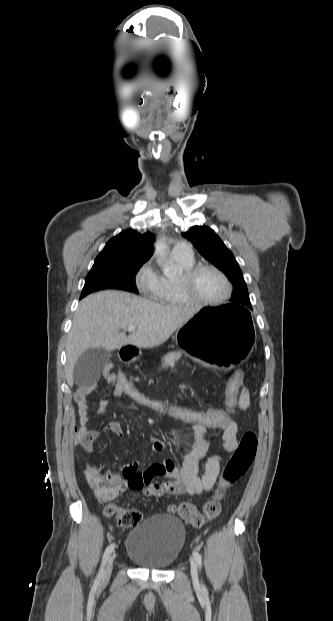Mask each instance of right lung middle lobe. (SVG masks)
Masks as SVG:
<instances>
[{
  "instance_id": "obj_1",
  "label": "right lung middle lobe",
  "mask_w": 333,
  "mask_h": 621,
  "mask_svg": "<svg viewBox=\"0 0 333 621\" xmlns=\"http://www.w3.org/2000/svg\"><path fill=\"white\" fill-rule=\"evenodd\" d=\"M144 262L109 261L95 262L87 275L80 298L105 288L123 289L138 294L134 276Z\"/></svg>"
}]
</instances>
